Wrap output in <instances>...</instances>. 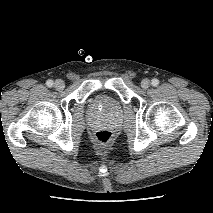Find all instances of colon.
<instances>
[{
  "label": "colon",
  "instance_id": "colon-1",
  "mask_svg": "<svg viewBox=\"0 0 213 213\" xmlns=\"http://www.w3.org/2000/svg\"><path fill=\"white\" fill-rule=\"evenodd\" d=\"M94 140L98 145L107 147L112 143L113 133L106 129L98 130L94 133Z\"/></svg>",
  "mask_w": 213,
  "mask_h": 213
}]
</instances>
